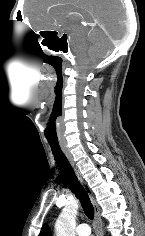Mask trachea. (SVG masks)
<instances>
[{"instance_id": "obj_1", "label": "trachea", "mask_w": 145, "mask_h": 236, "mask_svg": "<svg viewBox=\"0 0 145 236\" xmlns=\"http://www.w3.org/2000/svg\"><path fill=\"white\" fill-rule=\"evenodd\" d=\"M52 153L54 155L56 164L58 165L64 181L75 194V196L80 200L81 206L84 213L89 219L94 218V208L89 200V197L80 182L78 181L77 176L75 175L70 163L68 162L66 156L62 152L58 142H49Z\"/></svg>"}]
</instances>
